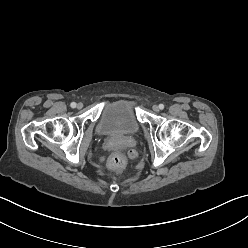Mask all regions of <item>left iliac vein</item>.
<instances>
[{
	"mask_svg": "<svg viewBox=\"0 0 248 248\" xmlns=\"http://www.w3.org/2000/svg\"><path fill=\"white\" fill-rule=\"evenodd\" d=\"M152 109L153 111L158 112L160 108L158 105H153Z\"/></svg>",
	"mask_w": 248,
	"mask_h": 248,
	"instance_id": "4c4485c4",
	"label": "left iliac vein"
}]
</instances>
